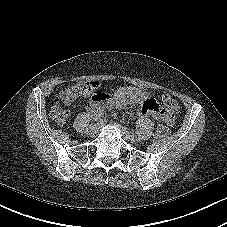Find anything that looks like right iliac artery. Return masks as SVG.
<instances>
[{"instance_id":"obj_1","label":"right iliac artery","mask_w":227,"mask_h":227,"mask_svg":"<svg viewBox=\"0 0 227 227\" xmlns=\"http://www.w3.org/2000/svg\"><path fill=\"white\" fill-rule=\"evenodd\" d=\"M102 117H103V114H102V113L95 114V115L93 116V118L95 119V120L93 121V125H94V126H97V125H98V121H99L100 118H102Z\"/></svg>"}]
</instances>
